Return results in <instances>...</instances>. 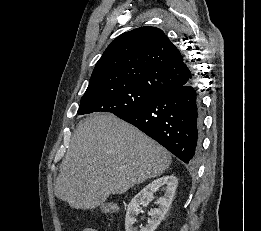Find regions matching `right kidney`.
<instances>
[{
  "instance_id": "ca27d5eb",
  "label": "right kidney",
  "mask_w": 261,
  "mask_h": 231,
  "mask_svg": "<svg viewBox=\"0 0 261 231\" xmlns=\"http://www.w3.org/2000/svg\"><path fill=\"white\" fill-rule=\"evenodd\" d=\"M178 185V180L173 175H166L158 178L144 187L129 203L125 217V229L126 231H137L134 228L136 222L135 216L139 214L140 205L147 206L154 198L153 194L157 188L164 187V196L156 200V204L159 205L157 209L151 210L148 219V224L142 227L140 231H155L161 221L164 219L168 212L173 197Z\"/></svg>"
}]
</instances>
